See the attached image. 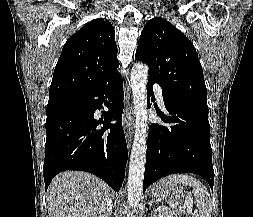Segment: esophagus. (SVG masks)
Masks as SVG:
<instances>
[{"label": "esophagus", "instance_id": "1", "mask_svg": "<svg viewBox=\"0 0 253 217\" xmlns=\"http://www.w3.org/2000/svg\"><path fill=\"white\" fill-rule=\"evenodd\" d=\"M134 111L132 107H126L123 112V126L128 140V146H131L133 126H134Z\"/></svg>", "mask_w": 253, "mask_h": 217}]
</instances>
